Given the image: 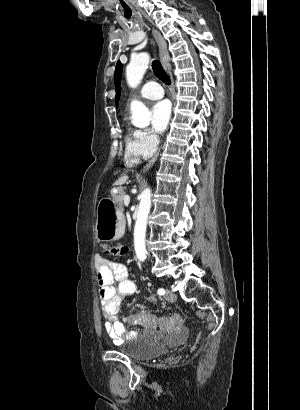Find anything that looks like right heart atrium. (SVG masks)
<instances>
[{
  "instance_id": "d8ad5b80",
  "label": "right heart atrium",
  "mask_w": 300,
  "mask_h": 410,
  "mask_svg": "<svg viewBox=\"0 0 300 410\" xmlns=\"http://www.w3.org/2000/svg\"><path fill=\"white\" fill-rule=\"evenodd\" d=\"M133 137L137 151L144 157H149L156 152L159 140L153 132L136 130L133 133Z\"/></svg>"
}]
</instances>
